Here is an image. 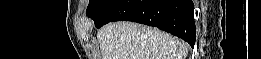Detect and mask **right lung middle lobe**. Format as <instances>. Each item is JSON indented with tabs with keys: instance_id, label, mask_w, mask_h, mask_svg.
<instances>
[{
	"instance_id": "1",
	"label": "right lung middle lobe",
	"mask_w": 261,
	"mask_h": 59,
	"mask_svg": "<svg viewBox=\"0 0 261 59\" xmlns=\"http://www.w3.org/2000/svg\"><path fill=\"white\" fill-rule=\"evenodd\" d=\"M116 0H90L86 11L88 17L98 16L102 11L110 7Z\"/></svg>"
}]
</instances>
